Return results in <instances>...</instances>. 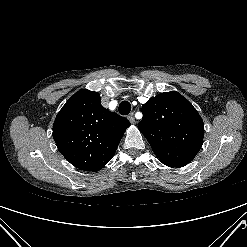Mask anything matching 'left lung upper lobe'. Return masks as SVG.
Segmentation results:
<instances>
[{
    "mask_svg": "<svg viewBox=\"0 0 247 247\" xmlns=\"http://www.w3.org/2000/svg\"><path fill=\"white\" fill-rule=\"evenodd\" d=\"M138 124L160 161L187 165L203 144L204 124L193 105L176 91L160 93L142 106Z\"/></svg>",
    "mask_w": 247,
    "mask_h": 247,
    "instance_id": "1",
    "label": "left lung upper lobe"
}]
</instances>
